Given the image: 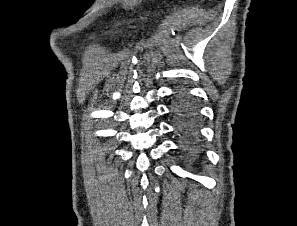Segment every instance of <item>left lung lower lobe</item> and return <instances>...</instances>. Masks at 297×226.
<instances>
[{"label": "left lung lower lobe", "mask_w": 297, "mask_h": 226, "mask_svg": "<svg viewBox=\"0 0 297 226\" xmlns=\"http://www.w3.org/2000/svg\"><path fill=\"white\" fill-rule=\"evenodd\" d=\"M171 110L175 127L181 137L185 157L189 160H197L199 157L196 144L199 113L196 104L188 95L178 94Z\"/></svg>", "instance_id": "left-lung-lower-lobe-1"}]
</instances>
